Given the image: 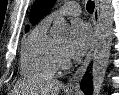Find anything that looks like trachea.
Returning a JSON list of instances; mask_svg holds the SVG:
<instances>
[{
	"mask_svg": "<svg viewBox=\"0 0 119 95\" xmlns=\"http://www.w3.org/2000/svg\"><path fill=\"white\" fill-rule=\"evenodd\" d=\"M95 7V3L93 1H88L87 2V11L89 13H93Z\"/></svg>",
	"mask_w": 119,
	"mask_h": 95,
	"instance_id": "trachea-1",
	"label": "trachea"
}]
</instances>
